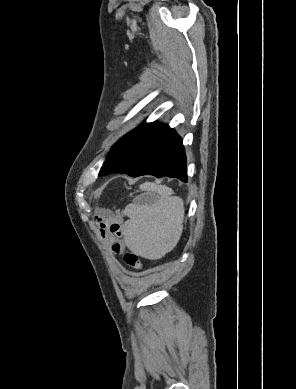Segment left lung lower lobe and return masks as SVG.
Segmentation results:
<instances>
[{
	"label": "left lung lower lobe",
	"instance_id": "0a47b994",
	"mask_svg": "<svg viewBox=\"0 0 296 389\" xmlns=\"http://www.w3.org/2000/svg\"><path fill=\"white\" fill-rule=\"evenodd\" d=\"M111 173H125L132 177L167 176L187 182L182 139L166 124H141L112 147L99 176Z\"/></svg>",
	"mask_w": 296,
	"mask_h": 389
}]
</instances>
